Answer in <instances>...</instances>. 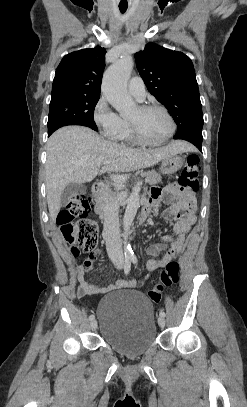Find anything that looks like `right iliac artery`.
<instances>
[{
	"label": "right iliac artery",
	"mask_w": 247,
	"mask_h": 407,
	"mask_svg": "<svg viewBox=\"0 0 247 407\" xmlns=\"http://www.w3.org/2000/svg\"><path fill=\"white\" fill-rule=\"evenodd\" d=\"M130 269H131V259H130V257H125V260H124V273L127 275L129 273ZM94 318H95L94 315L89 316L90 321L94 320Z\"/></svg>",
	"instance_id": "1"
}]
</instances>
